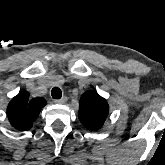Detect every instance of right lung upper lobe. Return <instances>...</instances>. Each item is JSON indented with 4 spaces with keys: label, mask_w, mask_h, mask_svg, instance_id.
Returning a JSON list of instances; mask_svg holds the SVG:
<instances>
[{
    "label": "right lung upper lobe",
    "mask_w": 165,
    "mask_h": 165,
    "mask_svg": "<svg viewBox=\"0 0 165 165\" xmlns=\"http://www.w3.org/2000/svg\"><path fill=\"white\" fill-rule=\"evenodd\" d=\"M47 104L41 97L29 99L28 92L15 96L7 107V116L11 125L17 130L25 131L33 126L41 108Z\"/></svg>",
    "instance_id": "obj_1"
}]
</instances>
